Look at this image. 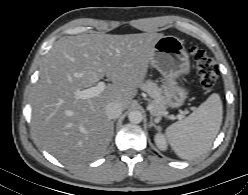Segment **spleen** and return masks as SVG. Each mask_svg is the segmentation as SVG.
I'll list each match as a JSON object with an SVG mask.
<instances>
[{"instance_id": "spleen-1", "label": "spleen", "mask_w": 248, "mask_h": 195, "mask_svg": "<svg viewBox=\"0 0 248 195\" xmlns=\"http://www.w3.org/2000/svg\"><path fill=\"white\" fill-rule=\"evenodd\" d=\"M222 118V101L218 94L213 93L188 117L170 125L165 135L177 156L194 159L209 151Z\"/></svg>"}]
</instances>
